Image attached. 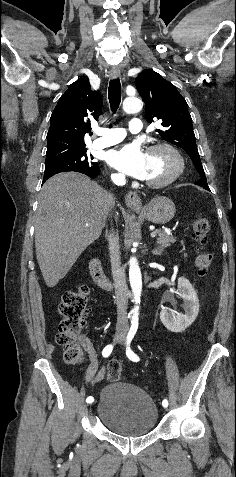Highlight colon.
<instances>
[{"mask_svg": "<svg viewBox=\"0 0 236 477\" xmlns=\"http://www.w3.org/2000/svg\"><path fill=\"white\" fill-rule=\"evenodd\" d=\"M211 230L210 220L198 215L193 222V238L198 244L206 241ZM213 256L208 252H199L195 258V266L201 274L207 273L211 266ZM88 288L81 286L75 290L66 292L58 306L61 316L59 330L56 334V342L64 349V359L71 365H77L82 361V350L78 343L81 330L86 325L85 316L88 312ZM122 372L118 360H112L108 364V380L116 382Z\"/></svg>", "mask_w": 236, "mask_h": 477, "instance_id": "obj_1", "label": "colon"}]
</instances>
